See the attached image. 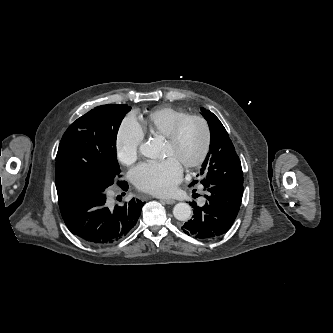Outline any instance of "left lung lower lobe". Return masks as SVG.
<instances>
[{
  "instance_id": "0a47b994",
  "label": "left lung lower lobe",
  "mask_w": 333,
  "mask_h": 333,
  "mask_svg": "<svg viewBox=\"0 0 333 333\" xmlns=\"http://www.w3.org/2000/svg\"><path fill=\"white\" fill-rule=\"evenodd\" d=\"M202 187L206 192V203L201 207L195 201L190 203L194 215L182 230L197 239H212L226 233L234 223L241 205L243 185L202 184Z\"/></svg>"
}]
</instances>
